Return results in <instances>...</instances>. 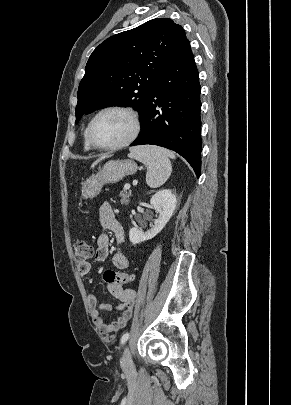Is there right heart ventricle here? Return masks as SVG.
I'll return each mask as SVG.
<instances>
[{
  "label": "right heart ventricle",
  "mask_w": 291,
  "mask_h": 405,
  "mask_svg": "<svg viewBox=\"0 0 291 405\" xmlns=\"http://www.w3.org/2000/svg\"><path fill=\"white\" fill-rule=\"evenodd\" d=\"M83 139H84V149H85L86 151H90L92 148L90 147V145H89L88 142H87V139H86V130L84 131Z\"/></svg>",
  "instance_id": "obj_1"
}]
</instances>
